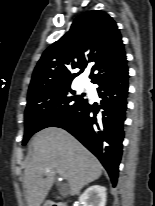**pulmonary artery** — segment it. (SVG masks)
<instances>
[{
	"instance_id": "1",
	"label": "pulmonary artery",
	"mask_w": 155,
	"mask_h": 206,
	"mask_svg": "<svg viewBox=\"0 0 155 206\" xmlns=\"http://www.w3.org/2000/svg\"><path fill=\"white\" fill-rule=\"evenodd\" d=\"M83 84H84V85H86L87 83H86V82H84Z\"/></svg>"
}]
</instances>
